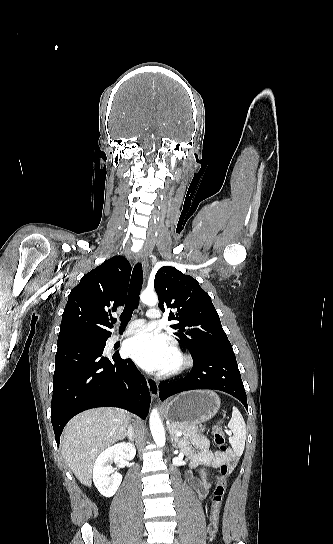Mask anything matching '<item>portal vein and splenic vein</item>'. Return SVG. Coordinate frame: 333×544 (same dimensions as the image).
I'll return each mask as SVG.
<instances>
[{
    "instance_id": "18ae733b",
    "label": "portal vein and splenic vein",
    "mask_w": 333,
    "mask_h": 544,
    "mask_svg": "<svg viewBox=\"0 0 333 544\" xmlns=\"http://www.w3.org/2000/svg\"><path fill=\"white\" fill-rule=\"evenodd\" d=\"M227 433H228V434H231L230 432H227ZM176 435H177V436H181L182 433H181V432H177Z\"/></svg>"
}]
</instances>
